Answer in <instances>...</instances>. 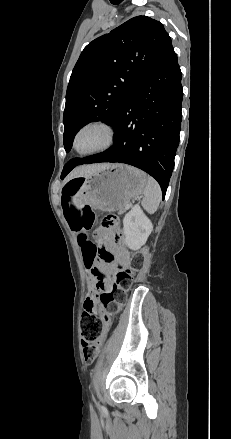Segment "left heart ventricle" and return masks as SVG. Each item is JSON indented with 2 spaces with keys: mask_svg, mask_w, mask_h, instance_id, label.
I'll list each match as a JSON object with an SVG mask.
<instances>
[{
  "mask_svg": "<svg viewBox=\"0 0 231 439\" xmlns=\"http://www.w3.org/2000/svg\"><path fill=\"white\" fill-rule=\"evenodd\" d=\"M102 141V132L96 129H89L80 135L78 139V147L81 150H90L98 147Z\"/></svg>",
  "mask_w": 231,
  "mask_h": 439,
  "instance_id": "b2bd125f",
  "label": "left heart ventricle"
}]
</instances>
